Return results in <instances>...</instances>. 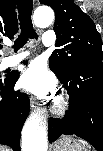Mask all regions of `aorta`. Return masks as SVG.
I'll return each instance as SVG.
<instances>
[{"instance_id":"obj_1","label":"aorta","mask_w":103,"mask_h":151,"mask_svg":"<svg viewBox=\"0 0 103 151\" xmlns=\"http://www.w3.org/2000/svg\"><path fill=\"white\" fill-rule=\"evenodd\" d=\"M54 12L49 7H38L33 14L37 27L45 28L54 21ZM22 151H47L46 126L39 120L38 115H32L22 130Z\"/></svg>"}]
</instances>
